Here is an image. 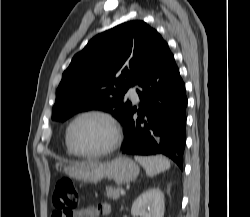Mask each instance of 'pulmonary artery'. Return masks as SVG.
<instances>
[{
  "instance_id": "1",
  "label": "pulmonary artery",
  "mask_w": 250,
  "mask_h": 217,
  "mask_svg": "<svg viewBox=\"0 0 250 217\" xmlns=\"http://www.w3.org/2000/svg\"><path fill=\"white\" fill-rule=\"evenodd\" d=\"M127 95L134 101L137 102L139 100L137 91H136V87L132 86L128 89L127 91Z\"/></svg>"
}]
</instances>
